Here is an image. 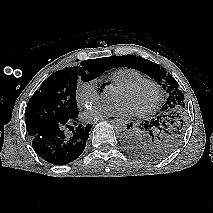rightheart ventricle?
<instances>
[{
  "label": "right heart ventricle",
  "mask_w": 213,
  "mask_h": 213,
  "mask_svg": "<svg viewBox=\"0 0 213 213\" xmlns=\"http://www.w3.org/2000/svg\"><path fill=\"white\" fill-rule=\"evenodd\" d=\"M144 75L136 69L130 67H120L112 71L108 79L117 86H122L136 80L143 79Z\"/></svg>",
  "instance_id": "e07e8e85"
}]
</instances>
